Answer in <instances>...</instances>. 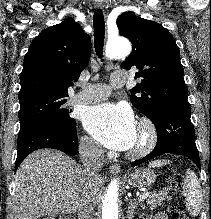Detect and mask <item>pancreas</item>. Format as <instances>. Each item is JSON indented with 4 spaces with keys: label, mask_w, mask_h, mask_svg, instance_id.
I'll list each match as a JSON object with an SVG mask.
<instances>
[{
    "label": "pancreas",
    "mask_w": 211,
    "mask_h": 219,
    "mask_svg": "<svg viewBox=\"0 0 211 219\" xmlns=\"http://www.w3.org/2000/svg\"><path fill=\"white\" fill-rule=\"evenodd\" d=\"M167 197V191L149 194L146 198V203L151 210L161 206L162 201Z\"/></svg>",
    "instance_id": "1"
}]
</instances>
